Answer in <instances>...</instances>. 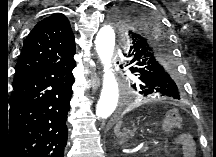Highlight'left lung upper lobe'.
Listing matches in <instances>:
<instances>
[{"label":"left lung upper lobe","instance_id":"5c2ea615","mask_svg":"<svg viewBox=\"0 0 216 157\" xmlns=\"http://www.w3.org/2000/svg\"><path fill=\"white\" fill-rule=\"evenodd\" d=\"M110 20L121 35L123 55L138 84L133 87L145 96L181 100L184 89L172 58L169 31L154 10L128 3L115 8Z\"/></svg>","mask_w":216,"mask_h":157}]
</instances>
